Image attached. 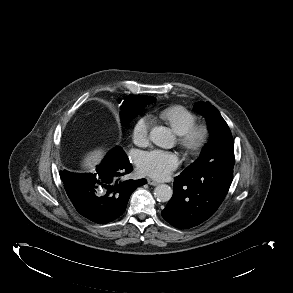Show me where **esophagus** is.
Masks as SVG:
<instances>
[{"mask_svg":"<svg viewBox=\"0 0 293 293\" xmlns=\"http://www.w3.org/2000/svg\"><path fill=\"white\" fill-rule=\"evenodd\" d=\"M147 182H148L149 185H152V186L159 185L158 181H155V180H152V179H148Z\"/></svg>","mask_w":293,"mask_h":293,"instance_id":"34e87169","label":"esophagus"}]
</instances>
